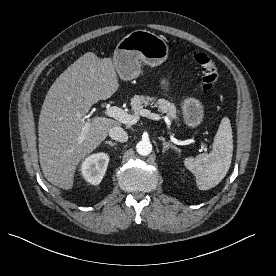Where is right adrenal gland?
Wrapping results in <instances>:
<instances>
[{
  "instance_id": "2a0ac1e0",
  "label": "right adrenal gland",
  "mask_w": 276,
  "mask_h": 276,
  "mask_svg": "<svg viewBox=\"0 0 276 276\" xmlns=\"http://www.w3.org/2000/svg\"><path fill=\"white\" fill-rule=\"evenodd\" d=\"M105 144H108L109 146H115L117 143L112 142V141H106Z\"/></svg>"
}]
</instances>
